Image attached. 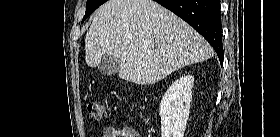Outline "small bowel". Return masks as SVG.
I'll list each match as a JSON object with an SVG mask.
<instances>
[{"instance_id":"small-bowel-1","label":"small bowel","mask_w":280,"mask_h":137,"mask_svg":"<svg viewBox=\"0 0 280 137\" xmlns=\"http://www.w3.org/2000/svg\"><path fill=\"white\" fill-rule=\"evenodd\" d=\"M101 137H139L137 132L130 127H125L120 130L113 126H107L102 131Z\"/></svg>"}]
</instances>
